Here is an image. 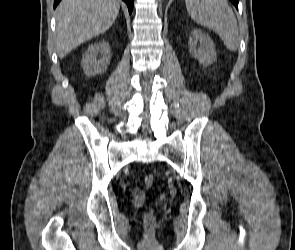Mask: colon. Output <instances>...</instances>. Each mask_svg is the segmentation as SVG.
I'll use <instances>...</instances> for the list:
<instances>
[{"mask_svg":"<svg viewBox=\"0 0 295 250\" xmlns=\"http://www.w3.org/2000/svg\"><path fill=\"white\" fill-rule=\"evenodd\" d=\"M153 183H154V175L152 173L146 174L144 177L145 186L147 188H151ZM145 220H146L147 224L152 225V223L154 222V216L151 213H149L146 215Z\"/></svg>","mask_w":295,"mask_h":250,"instance_id":"colon-1","label":"colon"}]
</instances>
